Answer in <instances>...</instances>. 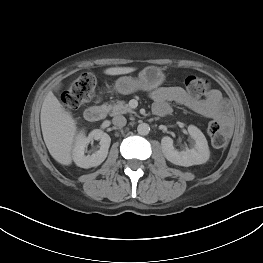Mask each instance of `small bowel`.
<instances>
[{"instance_id":"c3829d8e","label":"small bowel","mask_w":263,"mask_h":263,"mask_svg":"<svg viewBox=\"0 0 263 263\" xmlns=\"http://www.w3.org/2000/svg\"><path fill=\"white\" fill-rule=\"evenodd\" d=\"M153 100V111L163 116L171 111V103L184 105L196 113L220 121L226 129L229 128V108L220 91L213 89L205 98L191 97L178 86L160 87L150 93Z\"/></svg>"}]
</instances>
